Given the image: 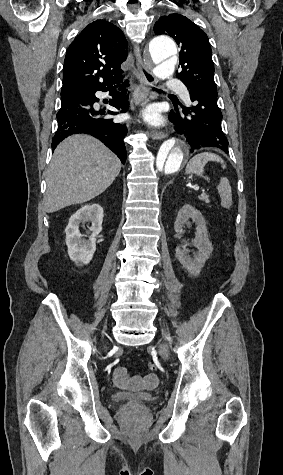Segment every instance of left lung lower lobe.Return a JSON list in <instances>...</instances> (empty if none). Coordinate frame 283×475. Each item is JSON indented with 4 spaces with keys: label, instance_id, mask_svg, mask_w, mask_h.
Instances as JSON below:
<instances>
[{
    "label": "left lung lower lobe",
    "instance_id": "obj_1",
    "mask_svg": "<svg viewBox=\"0 0 283 475\" xmlns=\"http://www.w3.org/2000/svg\"><path fill=\"white\" fill-rule=\"evenodd\" d=\"M193 105L184 108L183 114L171 111L169 117L184 134L191 152L203 147H217L228 153V140L225 137L221 120L222 113L217 105V91L202 87H187Z\"/></svg>",
    "mask_w": 283,
    "mask_h": 475
}]
</instances>
